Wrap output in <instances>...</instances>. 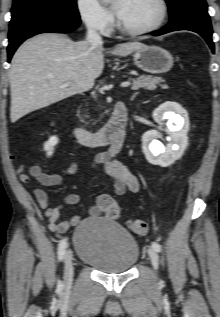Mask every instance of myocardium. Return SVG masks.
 <instances>
[{
    "mask_svg": "<svg viewBox=\"0 0 220 317\" xmlns=\"http://www.w3.org/2000/svg\"><path fill=\"white\" fill-rule=\"evenodd\" d=\"M159 7H160V14L159 17L157 19V21L146 27V28H141V29H131L128 27L123 26L120 21L117 19L116 21V27L117 29L128 36H144V35H148L151 34L155 31H157L165 22L167 15H168V4L166 0H156Z\"/></svg>",
    "mask_w": 220,
    "mask_h": 317,
    "instance_id": "1",
    "label": "myocardium"
}]
</instances>
